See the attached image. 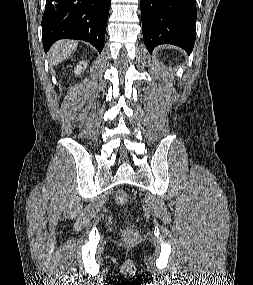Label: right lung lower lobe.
Here are the masks:
<instances>
[{
  "label": "right lung lower lobe",
  "instance_id": "98d812e1",
  "mask_svg": "<svg viewBox=\"0 0 253 285\" xmlns=\"http://www.w3.org/2000/svg\"><path fill=\"white\" fill-rule=\"evenodd\" d=\"M111 0H46L42 17L43 47L59 39L90 42L102 51Z\"/></svg>",
  "mask_w": 253,
  "mask_h": 285
}]
</instances>
